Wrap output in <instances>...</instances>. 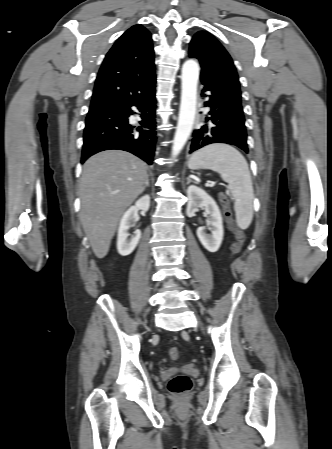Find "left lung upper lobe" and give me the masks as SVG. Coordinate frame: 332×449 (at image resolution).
<instances>
[{"instance_id": "5c2ea615", "label": "left lung upper lobe", "mask_w": 332, "mask_h": 449, "mask_svg": "<svg viewBox=\"0 0 332 449\" xmlns=\"http://www.w3.org/2000/svg\"><path fill=\"white\" fill-rule=\"evenodd\" d=\"M189 56L200 61V80L204 86L241 104V91L233 61L219 43L206 31L196 33L191 42Z\"/></svg>"}]
</instances>
